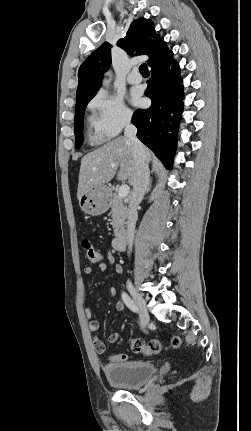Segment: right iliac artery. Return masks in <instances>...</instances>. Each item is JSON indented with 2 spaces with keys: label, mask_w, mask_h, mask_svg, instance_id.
<instances>
[{
  "label": "right iliac artery",
  "mask_w": 251,
  "mask_h": 431,
  "mask_svg": "<svg viewBox=\"0 0 251 431\" xmlns=\"http://www.w3.org/2000/svg\"><path fill=\"white\" fill-rule=\"evenodd\" d=\"M122 296V300L125 303V305L133 312L138 313L139 309L138 307L135 305V303L132 301V299L125 293L122 292L121 294Z\"/></svg>",
  "instance_id": "right-iliac-artery-1"
}]
</instances>
